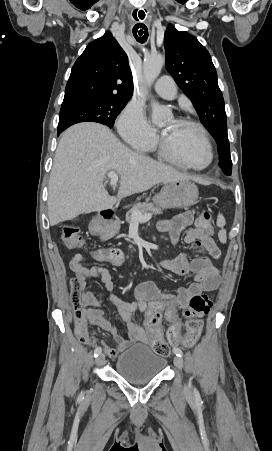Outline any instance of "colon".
I'll list each match as a JSON object with an SVG mask.
<instances>
[{
	"mask_svg": "<svg viewBox=\"0 0 272 451\" xmlns=\"http://www.w3.org/2000/svg\"><path fill=\"white\" fill-rule=\"evenodd\" d=\"M197 226L200 228V238L201 239H211L214 234V227L212 223V215L208 211H203L196 221ZM62 240L66 243L67 250H79L80 242H81V232L79 226L75 224L66 225L62 229L61 234ZM207 248L209 250H214L215 246L211 242H207ZM95 254L97 256H102L104 254V249L102 247H97L95 249ZM107 257L111 259L112 265L117 267L119 263L124 261V254L119 249H109L105 252ZM85 259V255L82 252H75L72 254V259L69 260V265L72 266L74 270L80 269L82 263ZM79 264V265H78ZM214 297L208 295H195L191 298L189 305L183 311V316L188 320L189 323V331L188 334L190 337L197 336L201 330V319L202 317L209 312L214 303ZM152 321V319H149ZM78 335L80 339L88 344L93 345V341L88 335L87 332H81V328L77 327ZM179 344V341L176 338L162 339H148L147 347L153 348L154 352L158 356H167L170 352L169 345L171 347H176ZM181 344L185 347H193L195 345V340L193 338H185L181 341Z\"/></svg>",
	"mask_w": 272,
	"mask_h": 451,
	"instance_id": "1",
	"label": "colon"
}]
</instances>
